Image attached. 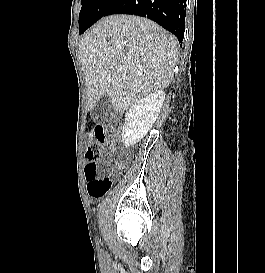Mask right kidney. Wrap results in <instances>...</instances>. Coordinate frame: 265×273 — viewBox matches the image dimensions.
Listing matches in <instances>:
<instances>
[{"instance_id": "ca27d5eb", "label": "right kidney", "mask_w": 265, "mask_h": 273, "mask_svg": "<svg viewBox=\"0 0 265 273\" xmlns=\"http://www.w3.org/2000/svg\"><path fill=\"white\" fill-rule=\"evenodd\" d=\"M164 100V91H155L129 109L122 128V141L125 146H134L144 138L158 117Z\"/></svg>"}]
</instances>
